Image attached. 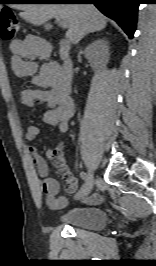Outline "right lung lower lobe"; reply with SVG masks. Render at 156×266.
I'll return each instance as SVG.
<instances>
[{
    "instance_id": "obj_1",
    "label": "right lung lower lobe",
    "mask_w": 156,
    "mask_h": 266,
    "mask_svg": "<svg viewBox=\"0 0 156 266\" xmlns=\"http://www.w3.org/2000/svg\"><path fill=\"white\" fill-rule=\"evenodd\" d=\"M54 4H94L103 14L115 20L124 32L133 38L137 10L141 0H46Z\"/></svg>"
}]
</instances>
